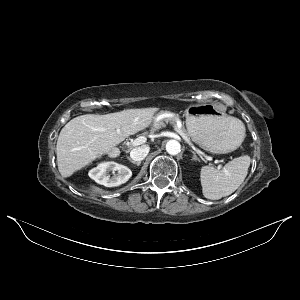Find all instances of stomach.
<instances>
[{
  "label": "stomach",
  "instance_id": "0dacf381",
  "mask_svg": "<svg viewBox=\"0 0 300 300\" xmlns=\"http://www.w3.org/2000/svg\"><path fill=\"white\" fill-rule=\"evenodd\" d=\"M186 126L193 141L213 154L236 150L245 136L232 117L212 104L190 105L186 110Z\"/></svg>",
  "mask_w": 300,
  "mask_h": 300
}]
</instances>
